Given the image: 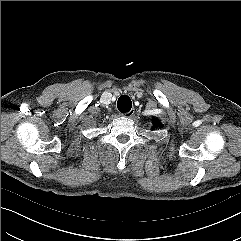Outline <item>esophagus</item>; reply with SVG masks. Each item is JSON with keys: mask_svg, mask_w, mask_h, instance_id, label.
<instances>
[{"mask_svg": "<svg viewBox=\"0 0 241 241\" xmlns=\"http://www.w3.org/2000/svg\"><path fill=\"white\" fill-rule=\"evenodd\" d=\"M134 113H135V111H134V109H132V110H130V111L126 112V113H123L121 115L125 116L127 118H131L134 115Z\"/></svg>", "mask_w": 241, "mask_h": 241, "instance_id": "obj_1", "label": "esophagus"}]
</instances>
